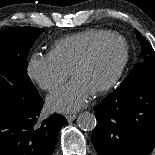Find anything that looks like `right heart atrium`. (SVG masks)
Segmentation results:
<instances>
[{
  "label": "right heart atrium",
  "mask_w": 155,
  "mask_h": 155,
  "mask_svg": "<svg viewBox=\"0 0 155 155\" xmlns=\"http://www.w3.org/2000/svg\"><path fill=\"white\" fill-rule=\"evenodd\" d=\"M28 75L41 89L55 91L65 83L70 72L50 54H34L28 63Z\"/></svg>",
  "instance_id": "right-heart-atrium-1"
}]
</instances>
